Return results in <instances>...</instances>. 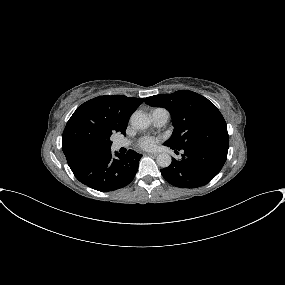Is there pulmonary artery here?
<instances>
[{
	"label": "pulmonary artery",
	"mask_w": 285,
	"mask_h": 285,
	"mask_svg": "<svg viewBox=\"0 0 285 285\" xmlns=\"http://www.w3.org/2000/svg\"><path fill=\"white\" fill-rule=\"evenodd\" d=\"M151 122L155 127H163L169 121L170 115L166 109L156 108L150 113ZM130 141L128 140H118L114 143L116 148L129 146Z\"/></svg>",
	"instance_id": "e3ab8cb5"
}]
</instances>
